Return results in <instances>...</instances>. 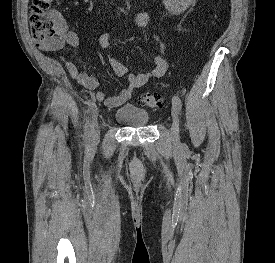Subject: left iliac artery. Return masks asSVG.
<instances>
[{
	"mask_svg": "<svg viewBox=\"0 0 275 263\" xmlns=\"http://www.w3.org/2000/svg\"><path fill=\"white\" fill-rule=\"evenodd\" d=\"M172 104H173V107H174L178 112L181 111L182 102H181V99H180L178 96H174V97L172 98Z\"/></svg>",
	"mask_w": 275,
	"mask_h": 263,
	"instance_id": "left-iliac-artery-1",
	"label": "left iliac artery"
}]
</instances>
